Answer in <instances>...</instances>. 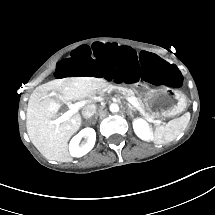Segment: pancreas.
<instances>
[{
  "label": "pancreas",
  "instance_id": "obj_1",
  "mask_svg": "<svg viewBox=\"0 0 215 215\" xmlns=\"http://www.w3.org/2000/svg\"><path fill=\"white\" fill-rule=\"evenodd\" d=\"M112 91L118 92V93L122 94L124 97H135L137 107L136 108L132 107V108H134L135 110L136 109L139 110L140 113L143 115V117L147 120L155 119L154 115H151L149 112H147L143 101L140 98L136 97L134 92L128 88L107 84L105 87L97 90V93L100 97H103L105 95V93H110Z\"/></svg>",
  "mask_w": 215,
  "mask_h": 215
}]
</instances>
